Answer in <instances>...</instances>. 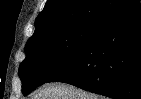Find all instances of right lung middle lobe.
Masks as SVG:
<instances>
[{
	"mask_svg": "<svg viewBox=\"0 0 141 99\" xmlns=\"http://www.w3.org/2000/svg\"><path fill=\"white\" fill-rule=\"evenodd\" d=\"M99 23L79 22L28 40L26 58L19 67L23 94L46 83L72 61L95 34Z\"/></svg>",
	"mask_w": 141,
	"mask_h": 99,
	"instance_id": "obj_1",
	"label": "right lung middle lobe"
}]
</instances>
